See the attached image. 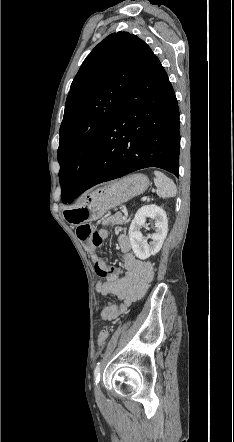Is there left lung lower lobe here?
I'll list each match as a JSON object with an SVG mask.
<instances>
[{
	"label": "left lung lower lobe",
	"mask_w": 234,
	"mask_h": 442,
	"mask_svg": "<svg viewBox=\"0 0 234 442\" xmlns=\"http://www.w3.org/2000/svg\"><path fill=\"white\" fill-rule=\"evenodd\" d=\"M179 109L174 90L153 55L131 85L104 130L76 197L96 184L158 167L177 177Z\"/></svg>",
	"instance_id": "obj_1"
}]
</instances>
